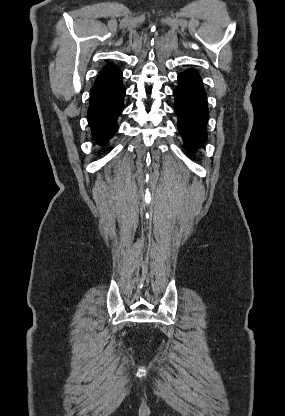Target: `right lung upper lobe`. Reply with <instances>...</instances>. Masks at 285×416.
Masks as SVG:
<instances>
[{
	"label": "right lung upper lobe",
	"mask_w": 285,
	"mask_h": 416,
	"mask_svg": "<svg viewBox=\"0 0 285 416\" xmlns=\"http://www.w3.org/2000/svg\"><path fill=\"white\" fill-rule=\"evenodd\" d=\"M120 73H121L120 69H118L115 65L109 63L102 69L94 85L110 80L114 78L115 76L119 75Z\"/></svg>",
	"instance_id": "right-lung-upper-lobe-1"
}]
</instances>
